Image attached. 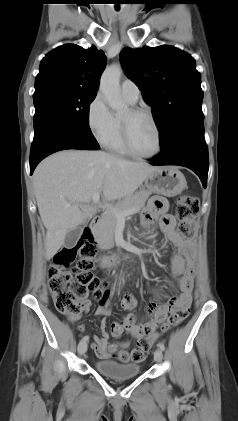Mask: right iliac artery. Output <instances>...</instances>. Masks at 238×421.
Listing matches in <instances>:
<instances>
[{
    "label": "right iliac artery",
    "instance_id": "82829eb1",
    "mask_svg": "<svg viewBox=\"0 0 238 421\" xmlns=\"http://www.w3.org/2000/svg\"><path fill=\"white\" fill-rule=\"evenodd\" d=\"M89 339V336H84L83 338H82V340L83 341H87Z\"/></svg>",
    "mask_w": 238,
    "mask_h": 421
}]
</instances>
